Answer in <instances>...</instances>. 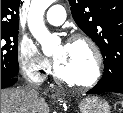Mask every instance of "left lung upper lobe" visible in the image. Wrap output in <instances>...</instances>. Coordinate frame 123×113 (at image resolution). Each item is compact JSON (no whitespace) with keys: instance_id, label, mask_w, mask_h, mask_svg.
<instances>
[{"instance_id":"5c2ea615","label":"left lung upper lobe","mask_w":123,"mask_h":113,"mask_svg":"<svg viewBox=\"0 0 123 113\" xmlns=\"http://www.w3.org/2000/svg\"><path fill=\"white\" fill-rule=\"evenodd\" d=\"M80 29L101 49L105 70L100 83L123 79V0H69Z\"/></svg>"}]
</instances>
